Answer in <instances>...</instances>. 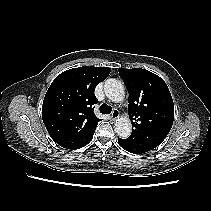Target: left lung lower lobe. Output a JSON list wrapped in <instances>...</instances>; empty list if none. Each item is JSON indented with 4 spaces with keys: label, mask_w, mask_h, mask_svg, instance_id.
<instances>
[{
    "label": "left lung lower lobe",
    "mask_w": 211,
    "mask_h": 211,
    "mask_svg": "<svg viewBox=\"0 0 211 211\" xmlns=\"http://www.w3.org/2000/svg\"><path fill=\"white\" fill-rule=\"evenodd\" d=\"M118 143L119 145L125 149L126 151L128 152H131V153H137V154H141V153H145V151H141V150H132L130 148L127 147V145L125 144V142L123 141V139H118Z\"/></svg>",
    "instance_id": "obj_1"
}]
</instances>
